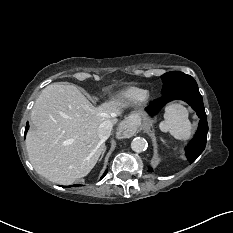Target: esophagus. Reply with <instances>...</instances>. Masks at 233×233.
I'll return each mask as SVG.
<instances>
[{"instance_id":"obj_1","label":"esophagus","mask_w":233,"mask_h":233,"mask_svg":"<svg viewBox=\"0 0 233 233\" xmlns=\"http://www.w3.org/2000/svg\"><path fill=\"white\" fill-rule=\"evenodd\" d=\"M137 126V121L133 117H130L128 119V124L125 122H122L118 125L116 134L119 138L124 139L130 134L135 127Z\"/></svg>"}]
</instances>
